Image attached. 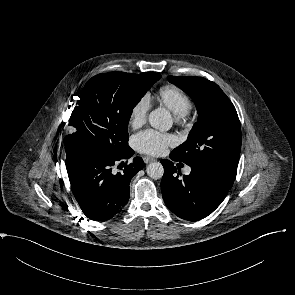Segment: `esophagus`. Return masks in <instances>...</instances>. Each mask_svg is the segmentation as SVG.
<instances>
[{"label":"esophagus","mask_w":295,"mask_h":295,"mask_svg":"<svg viewBox=\"0 0 295 295\" xmlns=\"http://www.w3.org/2000/svg\"><path fill=\"white\" fill-rule=\"evenodd\" d=\"M143 160H144V162H145L146 164L151 163V162H153V161H156L155 158H153V157H149V156H145V157L143 158Z\"/></svg>","instance_id":"34e87169"}]
</instances>
